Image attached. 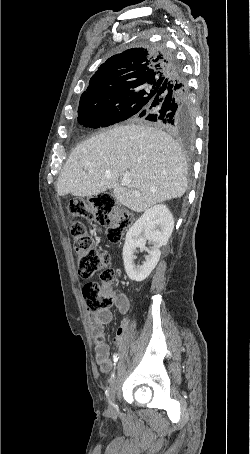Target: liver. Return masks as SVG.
Segmentation results:
<instances>
[{
    "label": "liver",
    "mask_w": 250,
    "mask_h": 454,
    "mask_svg": "<svg viewBox=\"0 0 250 454\" xmlns=\"http://www.w3.org/2000/svg\"><path fill=\"white\" fill-rule=\"evenodd\" d=\"M131 182L121 186L120 179ZM187 163L178 143L145 125L118 126L75 147L57 181L60 196L90 197L113 189L116 201L135 212L186 192Z\"/></svg>",
    "instance_id": "6515ba94"
}]
</instances>
